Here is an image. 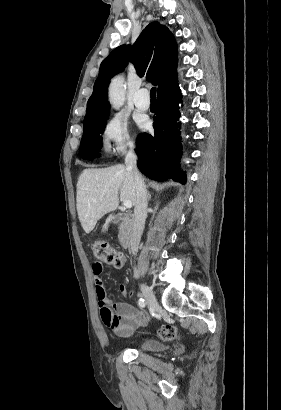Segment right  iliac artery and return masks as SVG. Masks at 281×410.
<instances>
[{
  "mask_svg": "<svg viewBox=\"0 0 281 410\" xmlns=\"http://www.w3.org/2000/svg\"><path fill=\"white\" fill-rule=\"evenodd\" d=\"M138 305H139L141 308H144L145 305H146L145 300H144L143 298H140L139 301H138Z\"/></svg>",
  "mask_w": 281,
  "mask_h": 410,
  "instance_id": "obj_1",
  "label": "right iliac artery"
}]
</instances>
